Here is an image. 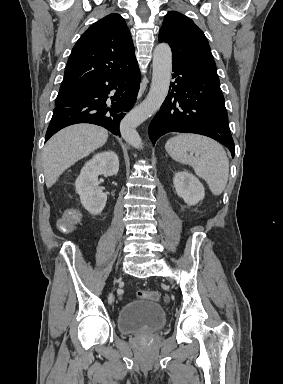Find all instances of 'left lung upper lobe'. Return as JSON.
<instances>
[{"label": "left lung upper lobe", "instance_id": "1", "mask_svg": "<svg viewBox=\"0 0 283 384\" xmlns=\"http://www.w3.org/2000/svg\"><path fill=\"white\" fill-rule=\"evenodd\" d=\"M159 41L170 45L173 61L217 74L207 38L185 15L168 12L159 32Z\"/></svg>", "mask_w": 283, "mask_h": 384}]
</instances>
